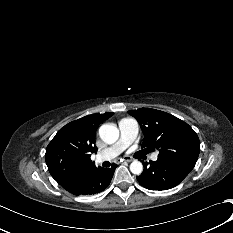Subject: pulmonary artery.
Here are the masks:
<instances>
[{"instance_id":"1","label":"pulmonary artery","mask_w":233,"mask_h":233,"mask_svg":"<svg viewBox=\"0 0 233 233\" xmlns=\"http://www.w3.org/2000/svg\"><path fill=\"white\" fill-rule=\"evenodd\" d=\"M120 137L116 143L102 150L95 156L96 162L110 161L123 152L137 137L139 126L133 118H123L119 121ZM157 154L152 155V160L156 161Z\"/></svg>"}]
</instances>
